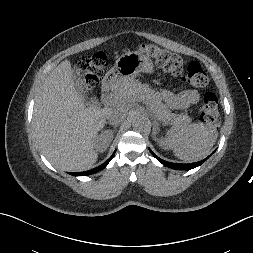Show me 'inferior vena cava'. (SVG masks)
I'll list each match as a JSON object with an SVG mask.
<instances>
[{"label":"inferior vena cava","instance_id":"1","mask_svg":"<svg viewBox=\"0 0 253 253\" xmlns=\"http://www.w3.org/2000/svg\"><path fill=\"white\" fill-rule=\"evenodd\" d=\"M128 109L122 106L112 107L108 113V122L111 125H119L127 116Z\"/></svg>","mask_w":253,"mask_h":253}]
</instances>
